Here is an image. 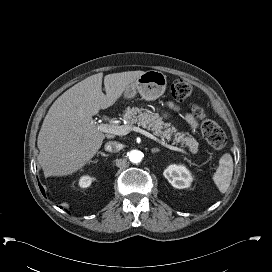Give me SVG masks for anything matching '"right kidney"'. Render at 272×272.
Wrapping results in <instances>:
<instances>
[{
	"label": "right kidney",
	"mask_w": 272,
	"mask_h": 272,
	"mask_svg": "<svg viewBox=\"0 0 272 272\" xmlns=\"http://www.w3.org/2000/svg\"><path fill=\"white\" fill-rule=\"evenodd\" d=\"M94 180V178L88 176V175H84L82 177H80L79 179V186L82 188H87L91 185L92 181Z\"/></svg>",
	"instance_id": "ca27d5eb"
}]
</instances>
